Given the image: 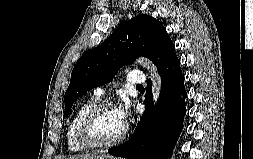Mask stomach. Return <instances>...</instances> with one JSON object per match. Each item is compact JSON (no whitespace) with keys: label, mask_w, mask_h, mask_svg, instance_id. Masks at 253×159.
<instances>
[{"label":"stomach","mask_w":253,"mask_h":159,"mask_svg":"<svg viewBox=\"0 0 253 159\" xmlns=\"http://www.w3.org/2000/svg\"><path fill=\"white\" fill-rule=\"evenodd\" d=\"M103 159H118V158L104 157Z\"/></svg>","instance_id":"1"}]
</instances>
